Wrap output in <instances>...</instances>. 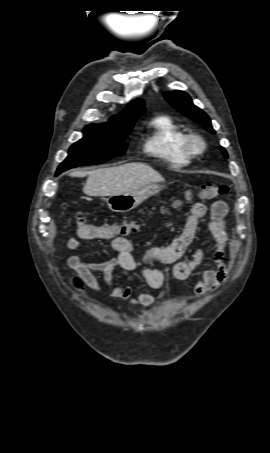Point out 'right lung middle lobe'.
<instances>
[{"mask_svg":"<svg viewBox=\"0 0 270 453\" xmlns=\"http://www.w3.org/2000/svg\"><path fill=\"white\" fill-rule=\"evenodd\" d=\"M132 128L133 125L121 129L102 124L87 126L84 137L70 147L68 157L58 167L56 176L70 168L99 164L123 155L126 145L122 142Z\"/></svg>","mask_w":270,"mask_h":453,"instance_id":"dd1d6c3e","label":"right lung middle lobe"}]
</instances>
